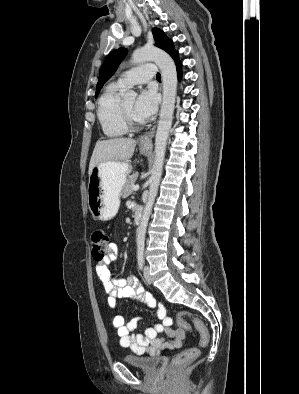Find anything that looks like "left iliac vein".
I'll return each mask as SVG.
<instances>
[{"label": "left iliac vein", "instance_id": "4c4485c4", "mask_svg": "<svg viewBox=\"0 0 299 394\" xmlns=\"http://www.w3.org/2000/svg\"><path fill=\"white\" fill-rule=\"evenodd\" d=\"M143 274H144V279L148 284H151L152 282V278L150 276V269L149 266H145L144 270H143Z\"/></svg>", "mask_w": 299, "mask_h": 394}]
</instances>
